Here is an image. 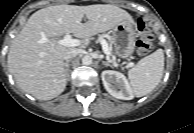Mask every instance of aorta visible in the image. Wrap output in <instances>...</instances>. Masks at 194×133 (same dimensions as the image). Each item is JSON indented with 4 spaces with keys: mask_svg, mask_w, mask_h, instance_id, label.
<instances>
[{
    "mask_svg": "<svg viewBox=\"0 0 194 133\" xmlns=\"http://www.w3.org/2000/svg\"><path fill=\"white\" fill-rule=\"evenodd\" d=\"M82 63H83V65H90V64H92V57L89 56V55H85L82 58Z\"/></svg>",
    "mask_w": 194,
    "mask_h": 133,
    "instance_id": "1",
    "label": "aorta"
}]
</instances>
